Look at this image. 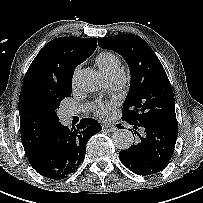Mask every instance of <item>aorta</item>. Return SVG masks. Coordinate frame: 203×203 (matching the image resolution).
<instances>
[{
  "instance_id": "aorta-1",
  "label": "aorta",
  "mask_w": 203,
  "mask_h": 203,
  "mask_svg": "<svg viewBox=\"0 0 203 203\" xmlns=\"http://www.w3.org/2000/svg\"><path fill=\"white\" fill-rule=\"evenodd\" d=\"M76 86L84 92H95L101 86V78L93 69H83L76 76ZM114 145L126 150L133 144V135L128 129H118L112 137Z\"/></svg>"
}]
</instances>
